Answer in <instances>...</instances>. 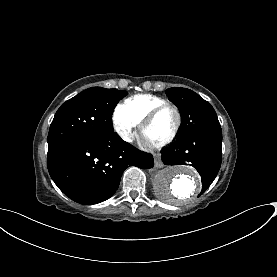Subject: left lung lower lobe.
<instances>
[{
	"label": "left lung lower lobe",
	"instance_id": "1",
	"mask_svg": "<svg viewBox=\"0 0 277 277\" xmlns=\"http://www.w3.org/2000/svg\"><path fill=\"white\" fill-rule=\"evenodd\" d=\"M221 129H210L179 137L173 145L162 151L165 165H191L201 175L202 191L210 186L222 161Z\"/></svg>",
	"mask_w": 277,
	"mask_h": 277
}]
</instances>
